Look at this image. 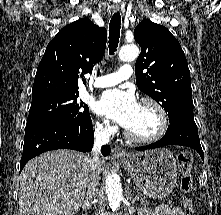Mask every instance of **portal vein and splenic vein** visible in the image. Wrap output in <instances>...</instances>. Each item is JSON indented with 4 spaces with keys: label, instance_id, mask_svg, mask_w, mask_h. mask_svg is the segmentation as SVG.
Instances as JSON below:
<instances>
[{
    "label": "portal vein and splenic vein",
    "instance_id": "18ae733b",
    "mask_svg": "<svg viewBox=\"0 0 221 215\" xmlns=\"http://www.w3.org/2000/svg\"><path fill=\"white\" fill-rule=\"evenodd\" d=\"M138 199V197H135V200H137Z\"/></svg>",
    "mask_w": 221,
    "mask_h": 215
}]
</instances>
